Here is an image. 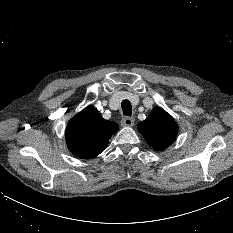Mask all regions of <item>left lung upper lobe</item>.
Returning <instances> with one entry per match:
<instances>
[{
    "label": "left lung upper lobe",
    "mask_w": 233,
    "mask_h": 233,
    "mask_svg": "<svg viewBox=\"0 0 233 233\" xmlns=\"http://www.w3.org/2000/svg\"><path fill=\"white\" fill-rule=\"evenodd\" d=\"M138 129L146 142L161 151L170 146L178 133V126L171 115L160 107L154 108Z\"/></svg>",
    "instance_id": "obj_1"
}]
</instances>
